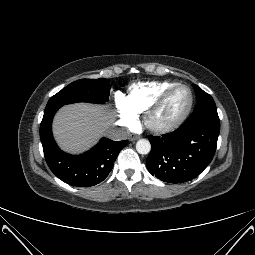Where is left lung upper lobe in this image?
Masks as SVG:
<instances>
[{
    "mask_svg": "<svg viewBox=\"0 0 255 255\" xmlns=\"http://www.w3.org/2000/svg\"><path fill=\"white\" fill-rule=\"evenodd\" d=\"M193 87L197 95V104L193 113L183 125H199L207 123L220 124L213 98L197 85H193Z\"/></svg>",
    "mask_w": 255,
    "mask_h": 255,
    "instance_id": "obj_1",
    "label": "left lung upper lobe"
}]
</instances>
